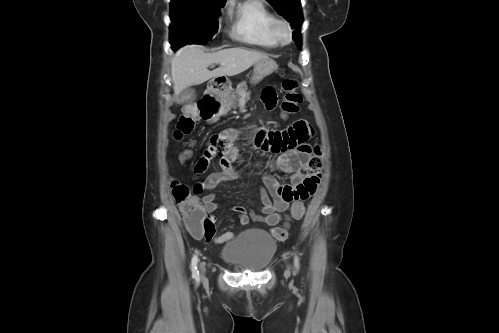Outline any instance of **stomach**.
I'll use <instances>...</instances> for the list:
<instances>
[{"instance_id": "stomach-1", "label": "stomach", "mask_w": 499, "mask_h": 333, "mask_svg": "<svg viewBox=\"0 0 499 333\" xmlns=\"http://www.w3.org/2000/svg\"><path fill=\"white\" fill-rule=\"evenodd\" d=\"M277 67V63L269 58L258 61L254 65L253 77L251 78V82L253 84L260 82L263 78L272 74L277 69Z\"/></svg>"}]
</instances>
